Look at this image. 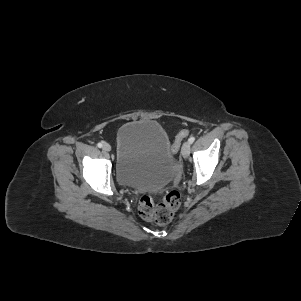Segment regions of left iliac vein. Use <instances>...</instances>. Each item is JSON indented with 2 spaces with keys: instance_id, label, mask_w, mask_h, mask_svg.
I'll return each mask as SVG.
<instances>
[{
  "instance_id": "left-iliac-vein-1",
  "label": "left iliac vein",
  "mask_w": 301,
  "mask_h": 301,
  "mask_svg": "<svg viewBox=\"0 0 301 301\" xmlns=\"http://www.w3.org/2000/svg\"><path fill=\"white\" fill-rule=\"evenodd\" d=\"M181 153L184 158H187L189 156V154H190V142L189 141H187L183 144Z\"/></svg>"
}]
</instances>
